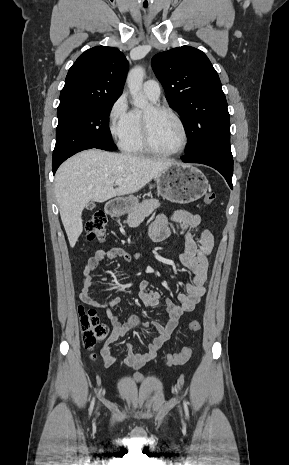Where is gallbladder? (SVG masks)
I'll return each instance as SVG.
<instances>
[{
  "label": "gallbladder",
  "mask_w": 289,
  "mask_h": 465,
  "mask_svg": "<svg viewBox=\"0 0 289 465\" xmlns=\"http://www.w3.org/2000/svg\"><path fill=\"white\" fill-rule=\"evenodd\" d=\"M94 207H95V203H94V202H90V203H88L87 206H86V208L89 209V210L93 209Z\"/></svg>",
  "instance_id": "bac80fb5"
}]
</instances>
